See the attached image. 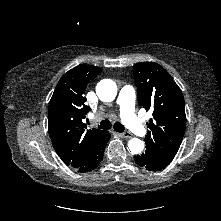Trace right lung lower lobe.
Segmentation results:
<instances>
[{"mask_svg": "<svg viewBox=\"0 0 221 221\" xmlns=\"http://www.w3.org/2000/svg\"><path fill=\"white\" fill-rule=\"evenodd\" d=\"M110 137V133L105 131L92 156L82 166L77 168L78 172L85 173L95 169L98 166V164L102 161L104 149Z\"/></svg>", "mask_w": 221, "mask_h": 221, "instance_id": "obj_1", "label": "right lung lower lobe"}]
</instances>
